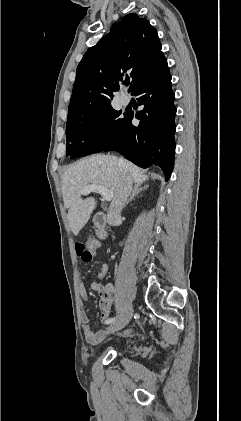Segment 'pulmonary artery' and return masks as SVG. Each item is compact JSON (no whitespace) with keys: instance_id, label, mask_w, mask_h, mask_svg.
Wrapping results in <instances>:
<instances>
[{"instance_id":"obj_1","label":"pulmonary artery","mask_w":241,"mask_h":421,"mask_svg":"<svg viewBox=\"0 0 241 421\" xmlns=\"http://www.w3.org/2000/svg\"><path fill=\"white\" fill-rule=\"evenodd\" d=\"M119 100H120V103H121L122 105H128V104H129V102H130V97H129L128 95H126V94H122V95L120 96Z\"/></svg>"}]
</instances>
